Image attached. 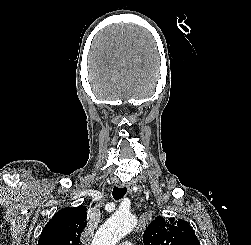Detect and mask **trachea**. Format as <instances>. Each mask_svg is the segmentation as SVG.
Here are the masks:
<instances>
[{
	"label": "trachea",
	"mask_w": 251,
	"mask_h": 245,
	"mask_svg": "<svg viewBox=\"0 0 251 245\" xmlns=\"http://www.w3.org/2000/svg\"><path fill=\"white\" fill-rule=\"evenodd\" d=\"M126 191H127L126 187L122 188L114 187L112 192L113 198L115 200H120L126 194Z\"/></svg>",
	"instance_id": "obj_1"
}]
</instances>
